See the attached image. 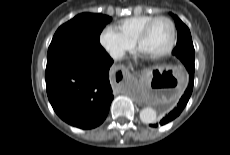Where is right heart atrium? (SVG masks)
<instances>
[{
  "label": "right heart atrium",
  "mask_w": 230,
  "mask_h": 155,
  "mask_svg": "<svg viewBox=\"0 0 230 155\" xmlns=\"http://www.w3.org/2000/svg\"><path fill=\"white\" fill-rule=\"evenodd\" d=\"M99 43L113 59H121L133 48V42L126 39L114 27H105L99 35Z\"/></svg>",
  "instance_id": "d8ad5b80"
}]
</instances>
